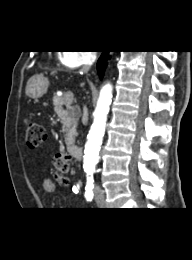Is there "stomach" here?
I'll return each instance as SVG.
<instances>
[{
	"instance_id": "stomach-1",
	"label": "stomach",
	"mask_w": 192,
	"mask_h": 260,
	"mask_svg": "<svg viewBox=\"0 0 192 260\" xmlns=\"http://www.w3.org/2000/svg\"><path fill=\"white\" fill-rule=\"evenodd\" d=\"M49 81L41 75L33 76L27 84V95L31 98L42 97L48 88Z\"/></svg>"
}]
</instances>
